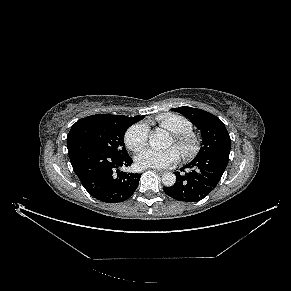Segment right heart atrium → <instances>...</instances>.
<instances>
[{
    "label": "right heart atrium",
    "instance_id": "obj_1",
    "mask_svg": "<svg viewBox=\"0 0 291 291\" xmlns=\"http://www.w3.org/2000/svg\"><path fill=\"white\" fill-rule=\"evenodd\" d=\"M148 140V127L144 123L132 125L125 134V143L133 151L140 150Z\"/></svg>",
    "mask_w": 291,
    "mask_h": 291
}]
</instances>
